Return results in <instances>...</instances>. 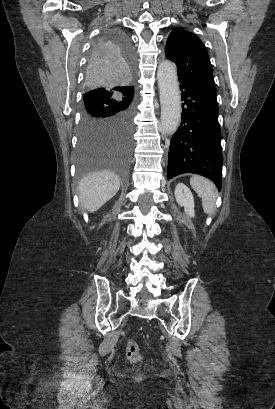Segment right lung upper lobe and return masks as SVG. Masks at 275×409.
Instances as JSON below:
<instances>
[{"label":"right lung upper lobe","mask_w":275,"mask_h":409,"mask_svg":"<svg viewBox=\"0 0 275 409\" xmlns=\"http://www.w3.org/2000/svg\"><path fill=\"white\" fill-rule=\"evenodd\" d=\"M117 91H120V92H132V93H134V86H125V87H124V90H117Z\"/></svg>","instance_id":"cb5924a9"}]
</instances>
